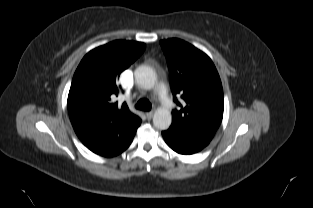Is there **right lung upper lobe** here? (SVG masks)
I'll return each instance as SVG.
<instances>
[{
	"label": "right lung upper lobe",
	"instance_id": "obj_1",
	"mask_svg": "<svg viewBox=\"0 0 313 208\" xmlns=\"http://www.w3.org/2000/svg\"><path fill=\"white\" fill-rule=\"evenodd\" d=\"M145 50L141 42L116 40L87 53L73 76L68 95V112L75 131L119 127L131 131L141 121L124 103L112 102L119 88L116 84Z\"/></svg>",
	"mask_w": 313,
	"mask_h": 208
}]
</instances>
